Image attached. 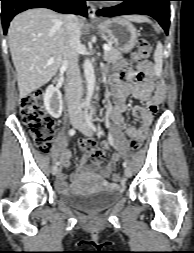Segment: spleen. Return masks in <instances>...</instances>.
I'll use <instances>...</instances> for the list:
<instances>
[{
    "mask_svg": "<svg viewBox=\"0 0 194 253\" xmlns=\"http://www.w3.org/2000/svg\"><path fill=\"white\" fill-rule=\"evenodd\" d=\"M153 58L155 61L154 66L155 73L157 76H160L162 74V66H163V46L160 42L157 43Z\"/></svg>",
    "mask_w": 194,
    "mask_h": 253,
    "instance_id": "spleen-1",
    "label": "spleen"
}]
</instances>
